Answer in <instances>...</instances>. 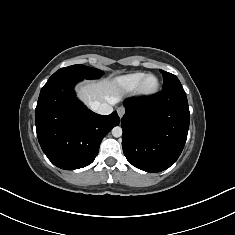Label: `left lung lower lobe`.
Wrapping results in <instances>:
<instances>
[{
  "label": "left lung lower lobe",
  "mask_w": 235,
  "mask_h": 235,
  "mask_svg": "<svg viewBox=\"0 0 235 235\" xmlns=\"http://www.w3.org/2000/svg\"><path fill=\"white\" fill-rule=\"evenodd\" d=\"M124 106L122 147L129 163L152 173L173 165L189 129L190 113L183 88L162 90L150 98L126 99Z\"/></svg>",
  "instance_id": "1"
}]
</instances>
